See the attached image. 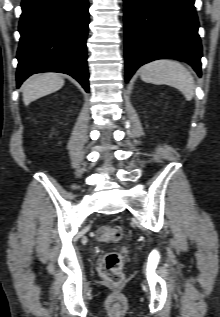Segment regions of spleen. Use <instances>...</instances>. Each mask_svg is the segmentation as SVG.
I'll return each mask as SVG.
<instances>
[{
  "label": "spleen",
  "instance_id": "spleen-1",
  "mask_svg": "<svg viewBox=\"0 0 220 317\" xmlns=\"http://www.w3.org/2000/svg\"><path fill=\"white\" fill-rule=\"evenodd\" d=\"M139 72L144 82L173 86L179 89L188 100L194 95V78L178 61L159 59L143 65Z\"/></svg>",
  "mask_w": 220,
  "mask_h": 317
}]
</instances>
